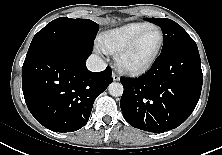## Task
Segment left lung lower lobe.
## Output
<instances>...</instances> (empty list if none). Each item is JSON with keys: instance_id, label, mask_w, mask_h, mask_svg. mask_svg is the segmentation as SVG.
Instances as JSON below:
<instances>
[{"instance_id": "0a47b994", "label": "left lung lower lobe", "mask_w": 222, "mask_h": 155, "mask_svg": "<svg viewBox=\"0 0 222 155\" xmlns=\"http://www.w3.org/2000/svg\"><path fill=\"white\" fill-rule=\"evenodd\" d=\"M120 107L135 128L164 132L182 124L196 107L203 74L198 48H179L160 54L148 72L120 79Z\"/></svg>"}]
</instances>
